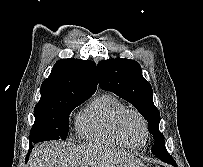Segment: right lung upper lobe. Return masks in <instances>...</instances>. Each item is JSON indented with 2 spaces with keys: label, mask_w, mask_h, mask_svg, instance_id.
<instances>
[{
  "label": "right lung upper lobe",
  "mask_w": 203,
  "mask_h": 167,
  "mask_svg": "<svg viewBox=\"0 0 203 167\" xmlns=\"http://www.w3.org/2000/svg\"><path fill=\"white\" fill-rule=\"evenodd\" d=\"M97 89L96 64L75 58L58 60L41 85L35 108L49 107L74 98H89Z\"/></svg>",
  "instance_id": "obj_1"
}]
</instances>
